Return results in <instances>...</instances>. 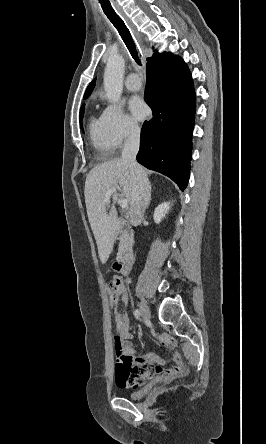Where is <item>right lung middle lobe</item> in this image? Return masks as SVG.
<instances>
[{"mask_svg":"<svg viewBox=\"0 0 266 444\" xmlns=\"http://www.w3.org/2000/svg\"><path fill=\"white\" fill-rule=\"evenodd\" d=\"M84 107H85V104H83V105L81 106V109H80V122H81L82 117H83Z\"/></svg>","mask_w":266,"mask_h":444,"instance_id":"obj_1","label":"right lung middle lobe"}]
</instances>
